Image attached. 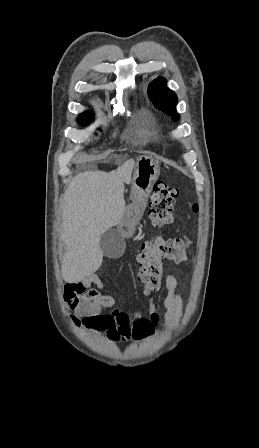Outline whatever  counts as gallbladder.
<instances>
[{
    "instance_id": "gallbladder-1",
    "label": "gallbladder",
    "mask_w": 259,
    "mask_h": 448,
    "mask_svg": "<svg viewBox=\"0 0 259 448\" xmlns=\"http://www.w3.org/2000/svg\"><path fill=\"white\" fill-rule=\"evenodd\" d=\"M99 246L106 258H120L125 250V242L122 236L113 228L101 234Z\"/></svg>"
}]
</instances>
